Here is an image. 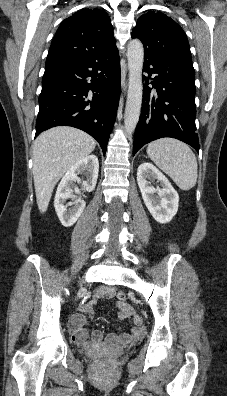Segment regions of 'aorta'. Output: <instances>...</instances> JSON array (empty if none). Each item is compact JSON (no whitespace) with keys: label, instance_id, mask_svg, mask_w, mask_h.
I'll return each instance as SVG.
<instances>
[{"label":"aorta","instance_id":"obj_1","mask_svg":"<svg viewBox=\"0 0 227 396\" xmlns=\"http://www.w3.org/2000/svg\"><path fill=\"white\" fill-rule=\"evenodd\" d=\"M129 68L128 94L125 107L124 125L127 134H132L139 120L142 105V69L144 49L140 40L133 39L127 46Z\"/></svg>","mask_w":227,"mask_h":396}]
</instances>
